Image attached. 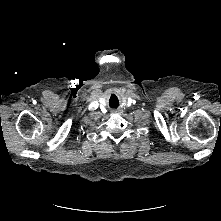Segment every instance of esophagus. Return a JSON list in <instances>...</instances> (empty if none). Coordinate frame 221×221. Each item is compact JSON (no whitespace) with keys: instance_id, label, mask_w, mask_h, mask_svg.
I'll use <instances>...</instances> for the list:
<instances>
[{"instance_id":"34e87169","label":"esophagus","mask_w":221,"mask_h":221,"mask_svg":"<svg viewBox=\"0 0 221 221\" xmlns=\"http://www.w3.org/2000/svg\"><path fill=\"white\" fill-rule=\"evenodd\" d=\"M112 112H113V113H118L119 111H118V110H113Z\"/></svg>"}]
</instances>
